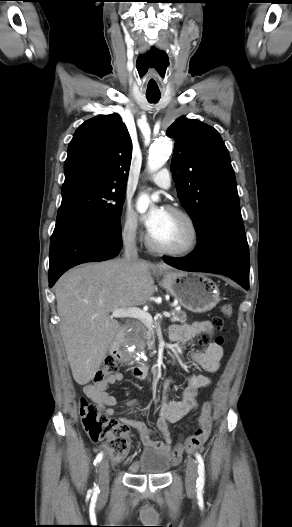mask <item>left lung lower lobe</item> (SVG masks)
<instances>
[{
    "label": "left lung lower lobe",
    "instance_id": "obj_1",
    "mask_svg": "<svg viewBox=\"0 0 292 527\" xmlns=\"http://www.w3.org/2000/svg\"><path fill=\"white\" fill-rule=\"evenodd\" d=\"M164 262L185 271L225 275L249 289V248L245 234L227 233L198 243L185 258H164Z\"/></svg>",
    "mask_w": 292,
    "mask_h": 527
}]
</instances>
